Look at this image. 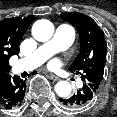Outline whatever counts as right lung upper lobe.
I'll return each mask as SVG.
<instances>
[{"mask_svg":"<svg viewBox=\"0 0 117 117\" xmlns=\"http://www.w3.org/2000/svg\"><path fill=\"white\" fill-rule=\"evenodd\" d=\"M34 16L7 18L0 21V88L9 80V59L18 54L20 41Z\"/></svg>","mask_w":117,"mask_h":117,"instance_id":"cb5924a9","label":"right lung upper lobe"}]
</instances>
